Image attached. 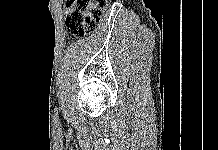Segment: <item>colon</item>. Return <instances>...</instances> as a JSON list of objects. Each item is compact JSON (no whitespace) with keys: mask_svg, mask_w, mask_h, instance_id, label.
Masks as SVG:
<instances>
[{"mask_svg":"<svg viewBox=\"0 0 218 150\" xmlns=\"http://www.w3.org/2000/svg\"><path fill=\"white\" fill-rule=\"evenodd\" d=\"M109 0H66V25L70 33L83 36L101 19Z\"/></svg>","mask_w":218,"mask_h":150,"instance_id":"1","label":"colon"}]
</instances>
